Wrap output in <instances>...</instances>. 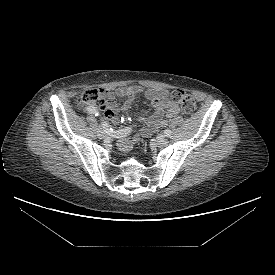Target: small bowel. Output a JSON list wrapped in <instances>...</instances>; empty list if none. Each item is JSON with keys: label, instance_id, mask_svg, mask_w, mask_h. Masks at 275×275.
<instances>
[{"label": "small bowel", "instance_id": "small-bowel-1", "mask_svg": "<svg viewBox=\"0 0 275 275\" xmlns=\"http://www.w3.org/2000/svg\"><path fill=\"white\" fill-rule=\"evenodd\" d=\"M101 93L106 99V106L103 109L105 117L114 125L120 122L118 112L127 110L132 100L138 94H143L151 102L152 114L140 116V120L146 124V127L141 131L142 136H147L163 127L169 119L180 112L179 106L170 100L168 92L162 89H144L139 85H132L119 87L114 90L102 89ZM119 97H125L127 100L118 105L115 99ZM136 140L123 138L119 143V148L123 151L128 150Z\"/></svg>", "mask_w": 275, "mask_h": 275}]
</instances>
